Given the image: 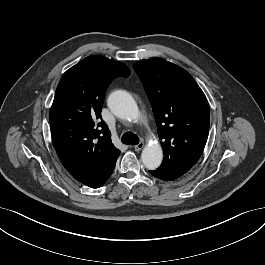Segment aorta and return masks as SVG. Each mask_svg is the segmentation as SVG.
<instances>
[{
    "mask_svg": "<svg viewBox=\"0 0 265 265\" xmlns=\"http://www.w3.org/2000/svg\"><path fill=\"white\" fill-rule=\"evenodd\" d=\"M110 111L117 117L125 120H136L139 117V109L134 98L124 90L112 92L107 100ZM144 166L149 170L157 169L163 159V151L159 144H147L141 154Z\"/></svg>",
    "mask_w": 265,
    "mask_h": 265,
    "instance_id": "aorta-1",
    "label": "aorta"
}]
</instances>
